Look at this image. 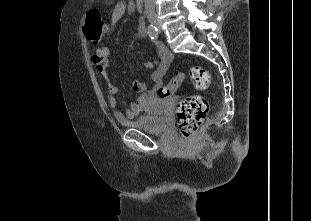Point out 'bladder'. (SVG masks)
<instances>
[{
    "label": "bladder",
    "instance_id": "1",
    "mask_svg": "<svg viewBox=\"0 0 311 221\" xmlns=\"http://www.w3.org/2000/svg\"><path fill=\"white\" fill-rule=\"evenodd\" d=\"M170 97H173V95H170ZM171 108L170 100L164 97L154 105V108H147L146 113L137 115L127 122V125L145 134H163L170 124L169 111Z\"/></svg>",
    "mask_w": 311,
    "mask_h": 221
}]
</instances>
